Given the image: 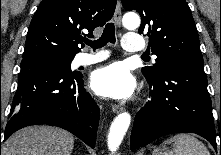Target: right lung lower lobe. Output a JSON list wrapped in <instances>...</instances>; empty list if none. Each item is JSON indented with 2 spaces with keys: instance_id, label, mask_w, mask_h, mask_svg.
<instances>
[{
  "instance_id": "98d812e1",
  "label": "right lung lower lobe",
  "mask_w": 221,
  "mask_h": 155,
  "mask_svg": "<svg viewBox=\"0 0 221 155\" xmlns=\"http://www.w3.org/2000/svg\"><path fill=\"white\" fill-rule=\"evenodd\" d=\"M99 115L80 73L47 58L23 59L4 140L23 127L47 124L70 131L94 148Z\"/></svg>"
}]
</instances>
